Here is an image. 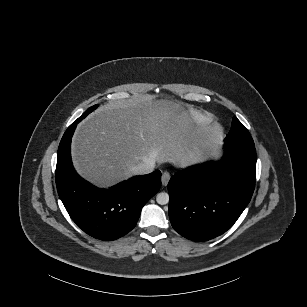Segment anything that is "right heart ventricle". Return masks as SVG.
<instances>
[{
    "label": "right heart ventricle",
    "instance_id": "right-heart-ventricle-1",
    "mask_svg": "<svg viewBox=\"0 0 307 307\" xmlns=\"http://www.w3.org/2000/svg\"><path fill=\"white\" fill-rule=\"evenodd\" d=\"M206 117H207V119H208V121L210 120V118L206 115Z\"/></svg>",
    "mask_w": 307,
    "mask_h": 307
}]
</instances>
